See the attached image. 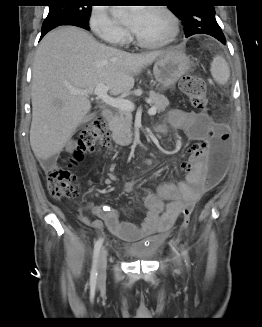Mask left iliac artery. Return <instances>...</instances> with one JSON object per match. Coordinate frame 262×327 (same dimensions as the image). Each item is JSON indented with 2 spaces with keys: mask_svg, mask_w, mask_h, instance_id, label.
Returning a JSON list of instances; mask_svg holds the SVG:
<instances>
[{
  "mask_svg": "<svg viewBox=\"0 0 262 327\" xmlns=\"http://www.w3.org/2000/svg\"><path fill=\"white\" fill-rule=\"evenodd\" d=\"M184 255H185V259H186V264H188V256H187V251H183Z\"/></svg>",
  "mask_w": 262,
  "mask_h": 327,
  "instance_id": "left-iliac-artery-1",
  "label": "left iliac artery"
}]
</instances>
